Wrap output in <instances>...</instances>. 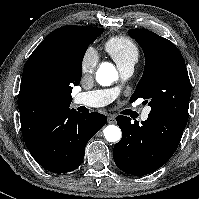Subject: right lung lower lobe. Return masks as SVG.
Here are the masks:
<instances>
[{
  "instance_id": "98d812e1",
  "label": "right lung lower lobe",
  "mask_w": 199,
  "mask_h": 199,
  "mask_svg": "<svg viewBox=\"0 0 199 199\" xmlns=\"http://www.w3.org/2000/svg\"><path fill=\"white\" fill-rule=\"evenodd\" d=\"M106 122L107 117L100 113L81 114L72 110L60 118L52 133L26 146L44 169L53 173L70 172L81 165L87 142Z\"/></svg>"
}]
</instances>
